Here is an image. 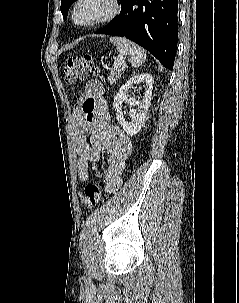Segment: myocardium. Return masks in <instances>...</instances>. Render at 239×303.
I'll return each instance as SVG.
<instances>
[{"instance_id": "1", "label": "myocardium", "mask_w": 239, "mask_h": 303, "mask_svg": "<svg viewBox=\"0 0 239 303\" xmlns=\"http://www.w3.org/2000/svg\"><path fill=\"white\" fill-rule=\"evenodd\" d=\"M81 2H83V0L75 1L71 14L73 22L80 27H93L99 24L110 22L115 19L122 11V4L120 0H107L110 5V9L105 14L88 22H79L77 20V9Z\"/></svg>"}]
</instances>
